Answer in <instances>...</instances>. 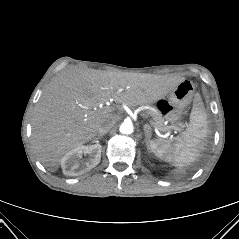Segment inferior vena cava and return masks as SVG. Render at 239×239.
I'll use <instances>...</instances> for the list:
<instances>
[{"label": "inferior vena cava", "instance_id": "inferior-vena-cava-1", "mask_svg": "<svg viewBox=\"0 0 239 239\" xmlns=\"http://www.w3.org/2000/svg\"><path fill=\"white\" fill-rule=\"evenodd\" d=\"M113 125H114L113 122H110V121L104 122V123L101 124V126L99 127L98 133H99L100 135H103V134L107 133V132L113 127Z\"/></svg>", "mask_w": 239, "mask_h": 239}]
</instances>
